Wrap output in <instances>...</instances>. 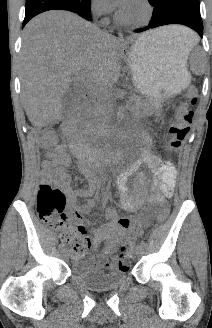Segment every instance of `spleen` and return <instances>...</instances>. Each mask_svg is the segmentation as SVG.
<instances>
[{"instance_id": "1", "label": "spleen", "mask_w": 212, "mask_h": 328, "mask_svg": "<svg viewBox=\"0 0 212 328\" xmlns=\"http://www.w3.org/2000/svg\"><path fill=\"white\" fill-rule=\"evenodd\" d=\"M197 42H198V38H197L196 34L192 31H190V35L187 38V41L185 42V46L183 48V55L186 60L188 58V55H189L191 49L197 44Z\"/></svg>"}]
</instances>
